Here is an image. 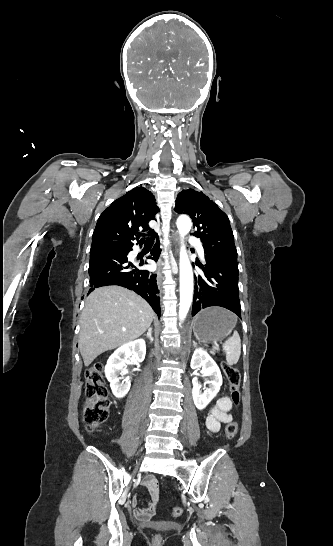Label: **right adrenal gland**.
Returning a JSON list of instances; mask_svg holds the SVG:
<instances>
[{
  "label": "right adrenal gland",
  "instance_id": "1",
  "mask_svg": "<svg viewBox=\"0 0 333 546\" xmlns=\"http://www.w3.org/2000/svg\"><path fill=\"white\" fill-rule=\"evenodd\" d=\"M152 332H153V328L150 327L148 329V332L146 334H144V336L147 337L150 340V343H153V341H154V338L152 336Z\"/></svg>",
  "mask_w": 333,
  "mask_h": 546
}]
</instances>
